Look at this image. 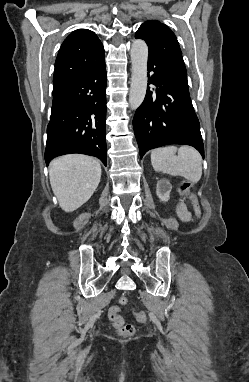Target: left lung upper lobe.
Masks as SVG:
<instances>
[{
  "mask_svg": "<svg viewBox=\"0 0 249 382\" xmlns=\"http://www.w3.org/2000/svg\"><path fill=\"white\" fill-rule=\"evenodd\" d=\"M135 38L145 40L149 47L148 57L156 60L170 73L187 81V71L179 43L168 26L156 20H148L140 26Z\"/></svg>",
  "mask_w": 249,
  "mask_h": 382,
  "instance_id": "obj_1",
  "label": "left lung upper lobe"
}]
</instances>
